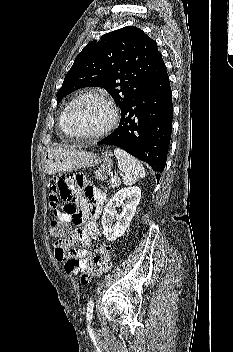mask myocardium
Listing matches in <instances>:
<instances>
[{
	"label": "myocardium",
	"instance_id": "myocardium-1",
	"mask_svg": "<svg viewBox=\"0 0 233 352\" xmlns=\"http://www.w3.org/2000/svg\"><path fill=\"white\" fill-rule=\"evenodd\" d=\"M85 98H94V99H98L100 101H102L109 109L110 111V119L107 122V124L102 127L100 130L93 132V133H76L73 129H72V125H71V113L72 110L74 108V106L82 99ZM118 121V110L116 108V106L114 105V103L105 95L98 93V92H86V93H82L80 95H78L76 98H74L67 109V113H66V126L68 128L69 134L70 136L77 138V139H84V140H88V139H97L100 138L104 135H106L107 133H109L117 124Z\"/></svg>",
	"mask_w": 233,
	"mask_h": 352
}]
</instances>
